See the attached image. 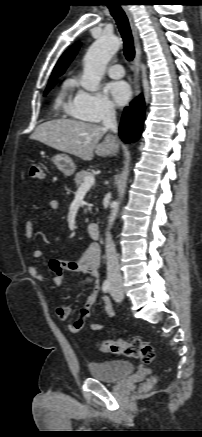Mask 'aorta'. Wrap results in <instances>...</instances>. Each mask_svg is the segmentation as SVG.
<instances>
[{"mask_svg": "<svg viewBox=\"0 0 202 437\" xmlns=\"http://www.w3.org/2000/svg\"><path fill=\"white\" fill-rule=\"evenodd\" d=\"M119 46L120 40L114 35H103L90 46L84 57V68L81 78V85L85 90L90 92L97 90L106 66L118 51ZM119 205V201L112 203V210L108 220L110 226L117 217Z\"/></svg>", "mask_w": 202, "mask_h": 437, "instance_id": "aorta-1", "label": "aorta"}]
</instances>
